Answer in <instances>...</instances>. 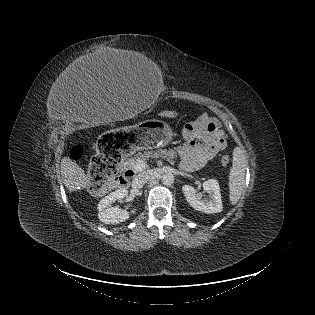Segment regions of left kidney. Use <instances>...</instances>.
Here are the masks:
<instances>
[{"mask_svg": "<svg viewBox=\"0 0 315 315\" xmlns=\"http://www.w3.org/2000/svg\"><path fill=\"white\" fill-rule=\"evenodd\" d=\"M203 189L209 193V200H200L197 196L195 188L189 185L182 187L183 193L187 202L195 210L201 211L207 214L219 213L222 211V200L219 183L215 179H209L203 183Z\"/></svg>", "mask_w": 315, "mask_h": 315, "instance_id": "left-kidney-1", "label": "left kidney"}]
</instances>
